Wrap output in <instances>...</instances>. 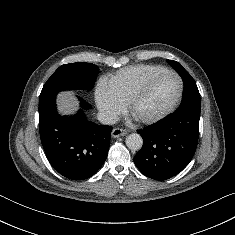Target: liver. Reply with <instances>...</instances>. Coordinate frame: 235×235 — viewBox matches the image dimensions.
Returning <instances> with one entry per match:
<instances>
[{
  "label": "liver",
  "mask_w": 235,
  "mask_h": 235,
  "mask_svg": "<svg viewBox=\"0 0 235 235\" xmlns=\"http://www.w3.org/2000/svg\"><path fill=\"white\" fill-rule=\"evenodd\" d=\"M73 94V92L68 91L62 92L58 95V108L63 114H72L78 109V102Z\"/></svg>",
  "instance_id": "liver-1"
}]
</instances>
